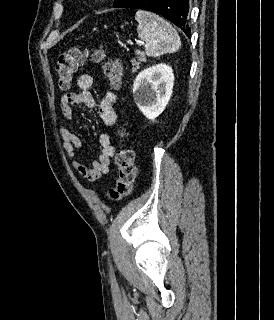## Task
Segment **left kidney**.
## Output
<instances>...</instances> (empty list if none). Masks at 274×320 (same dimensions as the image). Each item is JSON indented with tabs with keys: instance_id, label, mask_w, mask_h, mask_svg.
Listing matches in <instances>:
<instances>
[{
	"instance_id": "5707ae66",
	"label": "left kidney",
	"mask_w": 274,
	"mask_h": 320,
	"mask_svg": "<svg viewBox=\"0 0 274 320\" xmlns=\"http://www.w3.org/2000/svg\"><path fill=\"white\" fill-rule=\"evenodd\" d=\"M173 86V70L166 64H157L138 74L133 84V98L148 120H155L165 110Z\"/></svg>"
}]
</instances>
